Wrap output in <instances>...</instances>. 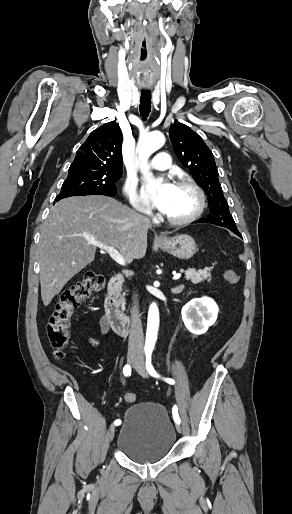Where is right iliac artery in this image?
Returning a JSON list of instances; mask_svg holds the SVG:
<instances>
[{"mask_svg": "<svg viewBox=\"0 0 292 514\" xmlns=\"http://www.w3.org/2000/svg\"><path fill=\"white\" fill-rule=\"evenodd\" d=\"M123 374L125 377H129L131 375V366L130 365H125L124 368H123ZM121 424V420L120 419H117L114 421V425L118 426Z\"/></svg>", "mask_w": 292, "mask_h": 514, "instance_id": "1", "label": "right iliac artery"}]
</instances>
